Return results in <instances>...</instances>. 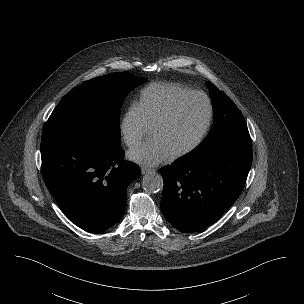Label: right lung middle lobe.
Listing matches in <instances>:
<instances>
[{"label":"right lung middle lobe","instance_id":"obj_1","mask_svg":"<svg viewBox=\"0 0 304 304\" xmlns=\"http://www.w3.org/2000/svg\"><path fill=\"white\" fill-rule=\"evenodd\" d=\"M146 81L128 72H119L78 85L53 110L44 125L41 142L78 136L120 147L122 102L132 89Z\"/></svg>","mask_w":304,"mask_h":304}]
</instances>
